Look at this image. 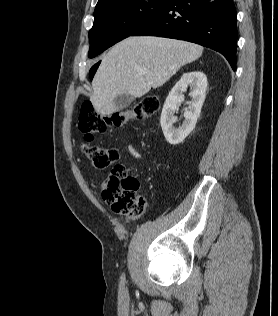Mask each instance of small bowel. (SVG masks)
Wrapping results in <instances>:
<instances>
[{
    "mask_svg": "<svg viewBox=\"0 0 278 316\" xmlns=\"http://www.w3.org/2000/svg\"><path fill=\"white\" fill-rule=\"evenodd\" d=\"M125 149L130 153V155L134 158V159H141L142 155L141 153L133 146V145H127L125 147Z\"/></svg>",
    "mask_w": 278,
    "mask_h": 316,
    "instance_id": "c3829d8e",
    "label": "small bowel"
}]
</instances>
